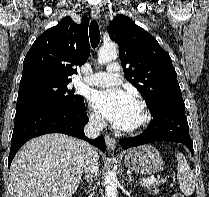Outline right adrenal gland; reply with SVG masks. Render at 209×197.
<instances>
[{
    "mask_svg": "<svg viewBox=\"0 0 209 197\" xmlns=\"http://www.w3.org/2000/svg\"><path fill=\"white\" fill-rule=\"evenodd\" d=\"M83 180H85V181H87V182H89V177L87 176V175H85V177L80 181V183H82L83 182Z\"/></svg>",
    "mask_w": 209,
    "mask_h": 197,
    "instance_id": "1",
    "label": "right adrenal gland"
}]
</instances>
